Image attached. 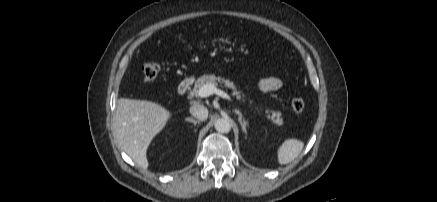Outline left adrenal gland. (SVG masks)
I'll use <instances>...</instances> for the list:
<instances>
[{"instance_id": "left-adrenal-gland-1", "label": "left adrenal gland", "mask_w": 437, "mask_h": 202, "mask_svg": "<svg viewBox=\"0 0 437 202\" xmlns=\"http://www.w3.org/2000/svg\"><path fill=\"white\" fill-rule=\"evenodd\" d=\"M235 113L238 115V121L241 125L242 131L247 134L246 125L247 121L243 118L242 113L239 110H235Z\"/></svg>"}]
</instances>
